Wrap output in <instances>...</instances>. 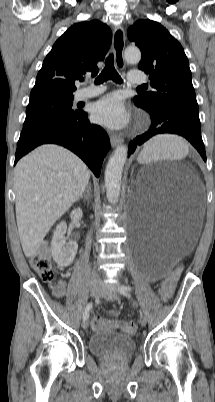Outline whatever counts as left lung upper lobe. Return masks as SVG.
Segmentation results:
<instances>
[{
	"label": "left lung upper lobe",
	"mask_w": 215,
	"mask_h": 402,
	"mask_svg": "<svg viewBox=\"0 0 215 402\" xmlns=\"http://www.w3.org/2000/svg\"><path fill=\"white\" fill-rule=\"evenodd\" d=\"M128 38L142 53L138 68L150 75L154 92L134 102L153 107L172 106L199 115L188 59L181 44L160 23L140 19L128 28Z\"/></svg>",
	"instance_id": "left-lung-upper-lobe-1"
}]
</instances>
